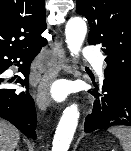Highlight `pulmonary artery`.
Wrapping results in <instances>:
<instances>
[{"label": "pulmonary artery", "mask_w": 131, "mask_h": 151, "mask_svg": "<svg viewBox=\"0 0 131 151\" xmlns=\"http://www.w3.org/2000/svg\"><path fill=\"white\" fill-rule=\"evenodd\" d=\"M83 56L85 60L90 62L96 72L99 74H102L104 71V61L102 56L93 48L91 47H86L83 52Z\"/></svg>", "instance_id": "1"}]
</instances>
